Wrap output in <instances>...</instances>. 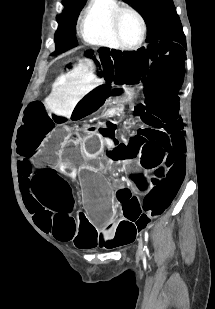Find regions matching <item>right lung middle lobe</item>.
Segmentation results:
<instances>
[{"instance_id":"obj_1","label":"right lung middle lobe","mask_w":215,"mask_h":309,"mask_svg":"<svg viewBox=\"0 0 215 309\" xmlns=\"http://www.w3.org/2000/svg\"><path fill=\"white\" fill-rule=\"evenodd\" d=\"M85 2L86 0H63L65 8L58 18L59 28L55 34L56 51L52 55L65 52L78 45L75 25Z\"/></svg>"}]
</instances>
